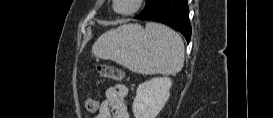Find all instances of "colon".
<instances>
[{
  "mask_svg": "<svg viewBox=\"0 0 273 118\" xmlns=\"http://www.w3.org/2000/svg\"><path fill=\"white\" fill-rule=\"evenodd\" d=\"M98 73L104 78H111L114 80H122L124 73L119 68L109 65V64H100L97 67ZM86 109L90 113H94L98 110V104L95 100L88 99L86 100Z\"/></svg>",
  "mask_w": 273,
  "mask_h": 118,
  "instance_id": "obj_1",
  "label": "colon"
}]
</instances>
